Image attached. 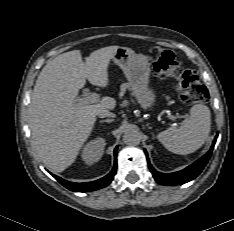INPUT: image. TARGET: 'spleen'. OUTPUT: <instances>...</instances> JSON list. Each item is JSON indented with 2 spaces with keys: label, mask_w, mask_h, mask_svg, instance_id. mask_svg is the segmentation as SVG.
Masks as SVG:
<instances>
[{
  "label": "spleen",
  "mask_w": 234,
  "mask_h": 231,
  "mask_svg": "<svg viewBox=\"0 0 234 231\" xmlns=\"http://www.w3.org/2000/svg\"><path fill=\"white\" fill-rule=\"evenodd\" d=\"M211 126V113L203 104L193 105L190 116L179 128L170 127L157 135L158 140L169 151L186 155L195 152L206 141Z\"/></svg>",
  "instance_id": "spleen-1"
}]
</instances>
